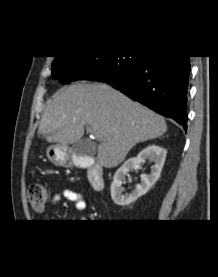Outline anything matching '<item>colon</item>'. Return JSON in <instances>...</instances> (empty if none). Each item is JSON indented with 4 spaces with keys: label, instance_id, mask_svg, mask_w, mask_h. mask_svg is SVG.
Wrapping results in <instances>:
<instances>
[{
    "label": "colon",
    "instance_id": "obj_1",
    "mask_svg": "<svg viewBox=\"0 0 218 277\" xmlns=\"http://www.w3.org/2000/svg\"><path fill=\"white\" fill-rule=\"evenodd\" d=\"M28 199L32 208L41 212L50 199V190L43 184H31L28 188Z\"/></svg>",
    "mask_w": 218,
    "mask_h": 277
}]
</instances>
